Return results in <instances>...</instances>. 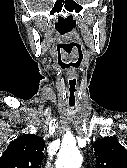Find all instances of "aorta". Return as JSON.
Listing matches in <instances>:
<instances>
[{
    "mask_svg": "<svg viewBox=\"0 0 127 168\" xmlns=\"http://www.w3.org/2000/svg\"><path fill=\"white\" fill-rule=\"evenodd\" d=\"M81 163L82 156L75 146L63 147L58 154L56 168H80Z\"/></svg>",
    "mask_w": 127,
    "mask_h": 168,
    "instance_id": "obj_1",
    "label": "aorta"
}]
</instances>
